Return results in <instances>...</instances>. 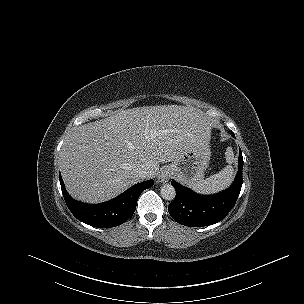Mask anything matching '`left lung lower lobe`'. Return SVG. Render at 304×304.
Returning <instances> with one entry per match:
<instances>
[{"label": "left lung lower lobe", "mask_w": 304, "mask_h": 304, "mask_svg": "<svg viewBox=\"0 0 304 304\" xmlns=\"http://www.w3.org/2000/svg\"><path fill=\"white\" fill-rule=\"evenodd\" d=\"M238 161V172L232 185L214 195L196 194L172 180L171 184L176 189V197L168 207L171 217L179 224L190 227L208 226L224 219L234 207L242 187L243 157L241 150Z\"/></svg>", "instance_id": "1"}]
</instances>
